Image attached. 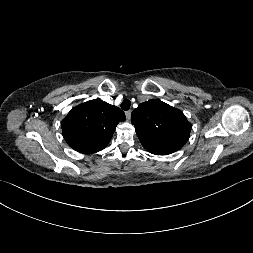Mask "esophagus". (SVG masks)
<instances>
[{
    "label": "esophagus",
    "instance_id": "34e87169",
    "mask_svg": "<svg viewBox=\"0 0 253 253\" xmlns=\"http://www.w3.org/2000/svg\"><path fill=\"white\" fill-rule=\"evenodd\" d=\"M125 115H126V119L129 121L131 118V110L126 111Z\"/></svg>",
    "mask_w": 253,
    "mask_h": 253
}]
</instances>
